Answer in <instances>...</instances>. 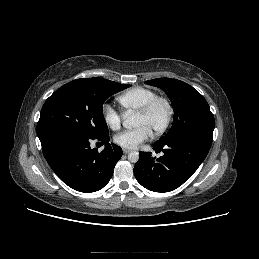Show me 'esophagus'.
Listing matches in <instances>:
<instances>
[{"label": "esophagus", "mask_w": 259, "mask_h": 259, "mask_svg": "<svg viewBox=\"0 0 259 259\" xmlns=\"http://www.w3.org/2000/svg\"><path fill=\"white\" fill-rule=\"evenodd\" d=\"M130 152V150H128V149H123V153L124 154H128Z\"/></svg>", "instance_id": "34e87169"}]
</instances>
